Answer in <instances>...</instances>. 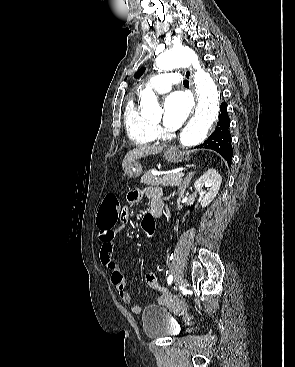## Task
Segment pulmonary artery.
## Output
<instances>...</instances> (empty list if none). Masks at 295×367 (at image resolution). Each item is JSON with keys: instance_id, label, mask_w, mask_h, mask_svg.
Instances as JSON below:
<instances>
[{"instance_id": "1", "label": "pulmonary artery", "mask_w": 295, "mask_h": 367, "mask_svg": "<svg viewBox=\"0 0 295 367\" xmlns=\"http://www.w3.org/2000/svg\"><path fill=\"white\" fill-rule=\"evenodd\" d=\"M180 76L177 73L165 72L153 77L148 86L159 94L166 93L172 89L174 84L179 83Z\"/></svg>"}]
</instances>
